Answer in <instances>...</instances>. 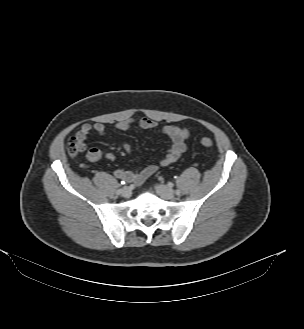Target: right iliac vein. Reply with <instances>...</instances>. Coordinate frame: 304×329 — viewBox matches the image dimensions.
Returning a JSON list of instances; mask_svg holds the SVG:
<instances>
[{"label": "right iliac vein", "instance_id": "right-iliac-vein-1", "mask_svg": "<svg viewBox=\"0 0 304 329\" xmlns=\"http://www.w3.org/2000/svg\"><path fill=\"white\" fill-rule=\"evenodd\" d=\"M121 195H122L123 197H125V198L130 197V195H131V190H130V188H129V187H124V188L122 189V191H121Z\"/></svg>", "mask_w": 304, "mask_h": 329}]
</instances>
